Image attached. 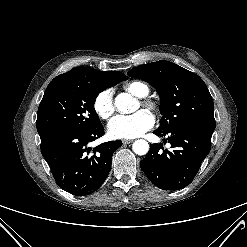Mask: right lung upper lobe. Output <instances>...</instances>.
Wrapping results in <instances>:
<instances>
[{
	"label": "right lung upper lobe",
	"instance_id": "right-lung-upper-lobe-1",
	"mask_svg": "<svg viewBox=\"0 0 247 247\" xmlns=\"http://www.w3.org/2000/svg\"><path fill=\"white\" fill-rule=\"evenodd\" d=\"M68 78H82L91 81H101L114 86L127 79L126 75L119 71H99L89 67H74L72 70L55 77L50 84Z\"/></svg>",
	"mask_w": 247,
	"mask_h": 247
}]
</instances>
